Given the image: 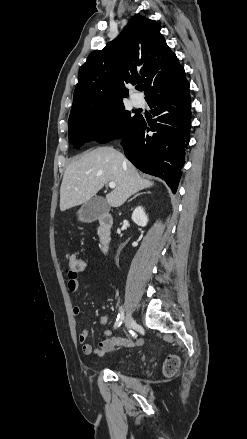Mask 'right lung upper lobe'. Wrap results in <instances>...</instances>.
<instances>
[{
	"instance_id": "right-lung-upper-lobe-1",
	"label": "right lung upper lobe",
	"mask_w": 247,
	"mask_h": 439,
	"mask_svg": "<svg viewBox=\"0 0 247 439\" xmlns=\"http://www.w3.org/2000/svg\"><path fill=\"white\" fill-rule=\"evenodd\" d=\"M160 29L154 20L137 16L104 49L93 51L80 68L70 117L123 101L127 84L144 82L147 101L186 83Z\"/></svg>"
}]
</instances>
